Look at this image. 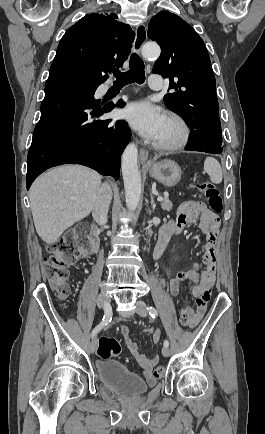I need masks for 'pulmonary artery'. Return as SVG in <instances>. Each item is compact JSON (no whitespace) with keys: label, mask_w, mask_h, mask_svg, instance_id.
Segmentation results:
<instances>
[{"label":"pulmonary artery","mask_w":265,"mask_h":434,"mask_svg":"<svg viewBox=\"0 0 265 434\" xmlns=\"http://www.w3.org/2000/svg\"><path fill=\"white\" fill-rule=\"evenodd\" d=\"M149 82L150 84H161L162 77L161 75H150ZM119 87H122V84H119Z\"/></svg>","instance_id":"obj_1"}]
</instances>
